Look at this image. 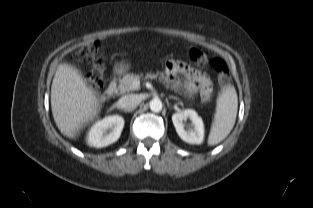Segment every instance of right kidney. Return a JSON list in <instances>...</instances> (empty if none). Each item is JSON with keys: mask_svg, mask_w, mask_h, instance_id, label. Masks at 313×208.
Instances as JSON below:
<instances>
[{"mask_svg": "<svg viewBox=\"0 0 313 208\" xmlns=\"http://www.w3.org/2000/svg\"><path fill=\"white\" fill-rule=\"evenodd\" d=\"M123 127L122 116H107L91 127L88 133V143L96 148L106 147L119 139Z\"/></svg>", "mask_w": 313, "mask_h": 208, "instance_id": "right-kidney-1", "label": "right kidney"}]
</instances>
